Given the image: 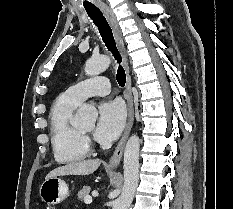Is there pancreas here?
I'll list each match as a JSON object with an SVG mask.
<instances>
[{
    "instance_id": "pancreas-1",
    "label": "pancreas",
    "mask_w": 233,
    "mask_h": 209,
    "mask_svg": "<svg viewBox=\"0 0 233 209\" xmlns=\"http://www.w3.org/2000/svg\"><path fill=\"white\" fill-rule=\"evenodd\" d=\"M91 188L89 186H84L81 190H79L77 196L80 200H84L85 197L89 196Z\"/></svg>"
}]
</instances>
